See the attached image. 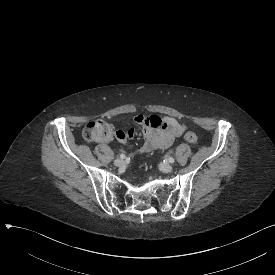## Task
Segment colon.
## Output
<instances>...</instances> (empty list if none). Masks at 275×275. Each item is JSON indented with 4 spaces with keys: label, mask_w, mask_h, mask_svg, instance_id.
<instances>
[{
    "label": "colon",
    "mask_w": 275,
    "mask_h": 275,
    "mask_svg": "<svg viewBox=\"0 0 275 275\" xmlns=\"http://www.w3.org/2000/svg\"><path fill=\"white\" fill-rule=\"evenodd\" d=\"M114 130L112 126L102 120L88 122L82 131V136L87 142H104L113 139ZM185 140L190 144L198 141L197 135L192 131H186Z\"/></svg>",
    "instance_id": "1"
}]
</instances>
